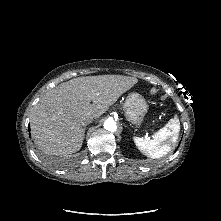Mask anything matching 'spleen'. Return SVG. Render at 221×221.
I'll return each mask as SVG.
<instances>
[{"mask_svg": "<svg viewBox=\"0 0 221 221\" xmlns=\"http://www.w3.org/2000/svg\"><path fill=\"white\" fill-rule=\"evenodd\" d=\"M179 132L180 122L177 117H174L156 132L152 139L134 137V143L144 155L156 159L165 156L171 151L172 146L178 139Z\"/></svg>", "mask_w": 221, "mask_h": 221, "instance_id": "1", "label": "spleen"}]
</instances>
